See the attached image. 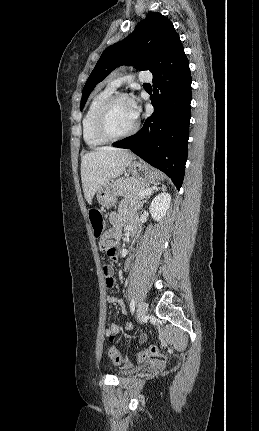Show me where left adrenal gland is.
<instances>
[{
    "label": "left adrenal gland",
    "mask_w": 259,
    "mask_h": 431,
    "mask_svg": "<svg viewBox=\"0 0 259 431\" xmlns=\"http://www.w3.org/2000/svg\"><path fill=\"white\" fill-rule=\"evenodd\" d=\"M156 190H158V189H156ZM162 190H165V186H164V185H162ZM150 196H151V193H149V194L146 196L145 200H143V201H142V203H146V202H147V200H148V198H150Z\"/></svg>",
    "instance_id": "obj_1"
}]
</instances>
